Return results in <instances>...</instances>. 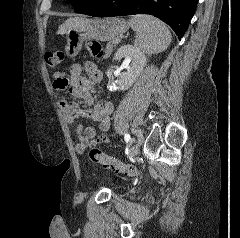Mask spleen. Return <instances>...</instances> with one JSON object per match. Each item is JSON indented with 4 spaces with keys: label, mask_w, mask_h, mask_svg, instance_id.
Here are the masks:
<instances>
[{
    "label": "spleen",
    "mask_w": 240,
    "mask_h": 238,
    "mask_svg": "<svg viewBox=\"0 0 240 238\" xmlns=\"http://www.w3.org/2000/svg\"><path fill=\"white\" fill-rule=\"evenodd\" d=\"M129 25L136 32L135 46L146 54L160 53L171 43V33L159 19L150 15H135Z\"/></svg>",
    "instance_id": "obj_1"
}]
</instances>
